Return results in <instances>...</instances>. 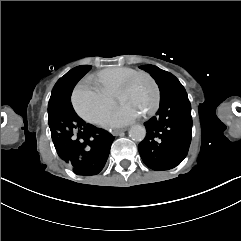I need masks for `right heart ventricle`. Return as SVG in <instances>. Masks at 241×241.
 <instances>
[{"label":"right heart ventricle","instance_id":"1","mask_svg":"<svg viewBox=\"0 0 241 241\" xmlns=\"http://www.w3.org/2000/svg\"><path fill=\"white\" fill-rule=\"evenodd\" d=\"M134 70L123 66H111L105 68L98 73L88 76L84 79L81 85L90 88L91 84L96 85L107 98L105 93L111 94L112 91L120 87L121 79L125 74L131 73Z\"/></svg>","mask_w":241,"mask_h":241}]
</instances>
